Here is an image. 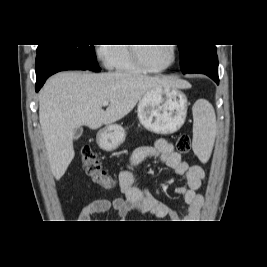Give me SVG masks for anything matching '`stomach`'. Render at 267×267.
Returning <instances> with one entry per match:
<instances>
[{"mask_svg": "<svg viewBox=\"0 0 267 267\" xmlns=\"http://www.w3.org/2000/svg\"><path fill=\"white\" fill-rule=\"evenodd\" d=\"M187 97L176 87H162L148 91L139 101L137 115L149 131L167 135L179 130L187 115ZM99 147L115 150L125 140L122 126L109 125L97 134Z\"/></svg>", "mask_w": 267, "mask_h": 267, "instance_id": "obj_1", "label": "stomach"}]
</instances>
